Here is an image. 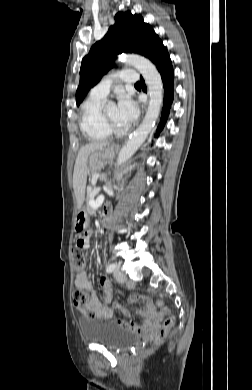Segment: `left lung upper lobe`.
Returning <instances> with one entry per match:
<instances>
[{"instance_id":"1","label":"left lung upper lobe","mask_w":252,"mask_h":390,"mask_svg":"<svg viewBox=\"0 0 252 390\" xmlns=\"http://www.w3.org/2000/svg\"><path fill=\"white\" fill-rule=\"evenodd\" d=\"M159 41L158 35L149 24L144 23L142 16L133 15L130 11L117 13L115 24L82 60L76 91L77 105L101 77L113 68L118 54L137 53L148 58Z\"/></svg>"}]
</instances>
